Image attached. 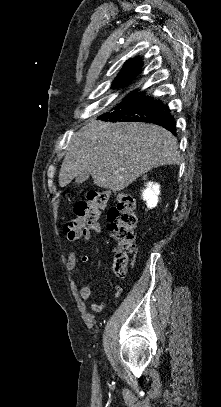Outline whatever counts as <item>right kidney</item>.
I'll use <instances>...</instances> for the list:
<instances>
[{
  "instance_id": "ca27d5eb",
  "label": "right kidney",
  "mask_w": 221,
  "mask_h": 407,
  "mask_svg": "<svg viewBox=\"0 0 221 407\" xmlns=\"http://www.w3.org/2000/svg\"><path fill=\"white\" fill-rule=\"evenodd\" d=\"M146 189L142 192L143 200L149 209L155 208L158 203V196L160 194V185L153 182H148Z\"/></svg>"
}]
</instances>
